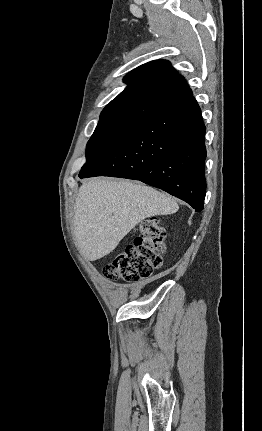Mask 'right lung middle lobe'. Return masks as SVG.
I'll return each mask as SVG.
<instances>
[{
  "label": "right lung middle lobe",
  "mask_w": 262,
  "mask_h": 431,
  "mask_svg": "<svg viewBox=\"0 0 262 431\" xmlns=\"http://www.w3.org/2000/svg\"><path fill=\"white\" fill-rule=\"evenodd\" d=\"M132 126L131 124L97 125L87 143L86 163L80 172L91 167Z\"/></svg>",
  "instance_id": "obj_1"
}]
</instances>
